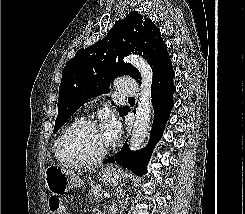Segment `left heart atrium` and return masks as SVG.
<instances>
[{
  "mask_svg": "<svg viewBox=\"0 0 245 214\" xmlns=\"http://www.w3.org/2000/svg\"><path fill=\"white\" fill-rule=\"evenodd\" d=\"M101 129L110 144L113 143L120 134V125L113 117L107 118Z\"/></svg>",
  "mask_w": 245,
  "mask_h": 214,
  "instance_id": "obj_1",
  "label": "left heart atrium"
}]
</instances>
